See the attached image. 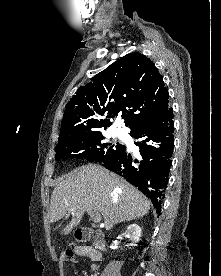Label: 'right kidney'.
<instances>
[{
	"instance_id": "ca27d5eb",
	"label": "right kidney",
	"mask_w": 221,
	"mask_h": 276,
	"mask_svg": "<svg viewBox=\"0 0 221 276\" xmlns=\"http://www.w3.org/2000/svg\"><path fill=\"white\" fill-rule=\"evenodd\" d=\"M124 237L128 238L132 243L131 246H136L141 236V228L137 224H131L127 227V230L123 234Z\"/></svg>"
}]
</instances>
